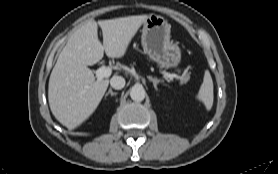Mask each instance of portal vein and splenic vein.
<instances>
[{
	"label": "portal vein and splenic vein",
	"instance_id": "1",
	"mask_svg": "<svg viewBox=\"0 0 278 174\" xmlns=\"http://www.w3.org/2000/svg\"><path fill=\"white\" fill-rule=\"evenodd\" d=\"M112 73V70L110 67L102 66L99 69L96 70L95 74L97 77V81H101L104 78H108ZM163 74L169 78V79H182L181 76L174 74V73H168V72H163Z\"/></svg>",
	"mask_w": 278,
	"mask_h": 174
}]
</instances>
